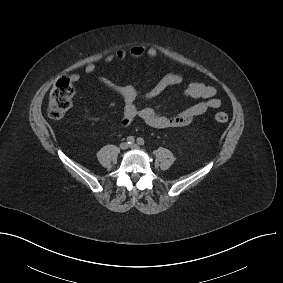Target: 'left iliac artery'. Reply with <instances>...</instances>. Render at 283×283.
Instances as JSON below:
<instances>
[{"mask_svg":"<svg viewBox=\"0 0 283 283\" xmlns=\"http://www.w3.org/2000/svg\"><path fill=\"white\" fill-rule=\"evenodd\" d=\"M137 143H138L139 145H144V139L141 138V137L137 138Z\"/></svg>","mask_w":283,"mask_h":283,"instance_id":"left-iliac-artery-1","label":"left iliac artery"}]
</instances>
